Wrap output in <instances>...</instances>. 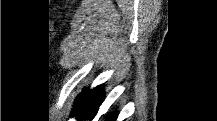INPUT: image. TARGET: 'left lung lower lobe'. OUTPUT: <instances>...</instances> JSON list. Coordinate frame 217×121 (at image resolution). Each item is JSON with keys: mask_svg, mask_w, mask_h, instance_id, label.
Segmentation results:
<instances>
[{"mask_svg": "<svg viewBox=\"0 0 217 121\" xmlns=\"http://www.w3.org/2000/svg\"><path fill=\"white\" fill-rule=\"evenodd\" d=\"M103 85H100L93 90H90L88 100L86 102L85 107L83 108L82 113L78 117V120L82 119H93L95 114L97 113L99 106L102 102L103 98ZM117 118V114H111L107 118L108 121H115Z\"/></svg>", "mask_w": 217, "mask_h": 121, "instance_id": "left-lung-lower-lobe-1", "label": "left lung lower lobe"}]
</instances>
